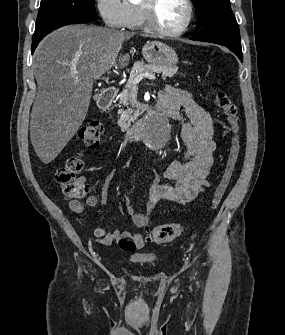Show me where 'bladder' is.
<instances>
[{
    "instance_id": "1",
    "label": "bladder",
    "mask_w": 285,
    "mask_h": 335,
    "mask_svg": "<svg viewBox=\"0 0 285 335\" xmlns=\"http://www.w3.org/2000/svg\"><path fill=\"white\" fill-rule=\"evenodd\" d=\"M131 265H154V258H131Z\"/></svg>"
}]
</instances>
